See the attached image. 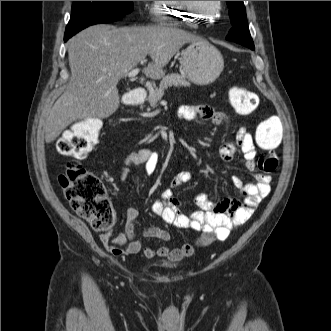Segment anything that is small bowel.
<instances>
[{"label": "small bowel", "mask_w": 331, "mask_h": 331, "mask_svg": "<svg viewBox=\"0 0 331 331\" xmlns=\"http://www.w3.org/2000/svg\"><path fill=\"white\" fill-rule=\"evenodd\" d=\"M177 114L181 120L186 121L199 118L204 121H212L217 125L229 124V119L225 113L207 105L182 106L178 109ZM236 152L243 155L245 169L253 171L255 169L256 146L252 135L243 127L238 129L235 143H225L219 150L220 157L224 162H230ZM157 159L158 156L153 150L141 149L138 152L128 154L124 159V164L145 166L147 173L151 174L156 168ZM255 179L256 182H244L238 176L232 178L235 187L245 196L242 202L233 197L213 201L205 194H199L194 199L198 209L184 213L181 210V203L175 197V191L191 180V173L187 170L179 172L172 179L169 187L162 191L160 198L154 202L151 210L154 215L160 217L167 224L200 233L194 242L185 243L180 248L143 247L136 234L139 210L134 205L126 210L124 233L115 236H112L111 233L103 234L101 241L105 248L114 255L136 254L142 251L148 258L159 256L174 261L181 260L190 256L198 246H204V244L211 243L216 239L225 240L234 227L251 218L259 203L271 191V177L269 175L256 174ZM142 235L164 242L170 239V234L157 226L144 228Z\"/></svg>", "instance_id": "c3829d8e"}]
</instances>
